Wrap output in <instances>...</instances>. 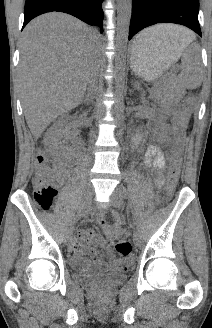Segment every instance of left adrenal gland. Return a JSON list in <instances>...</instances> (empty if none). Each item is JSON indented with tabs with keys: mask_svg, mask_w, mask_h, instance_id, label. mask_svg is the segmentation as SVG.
<instances>
[{
	"mask_svg": "<svg viewBox=\"0 0 212 328\" xmlns=\"http://www.w3.org/2000/svg\"><path fill=\"white\" fill-rule=\"evenodd\" d=\"M134 88L137 89V90H139V83H138V81H135L134 82Z\"/></svg>",
	"mask_w": 212,
	"mask_h": 328,
	"instance_id": "a2214340",
	"label": "left adrenal gland"
}]
</instances>
